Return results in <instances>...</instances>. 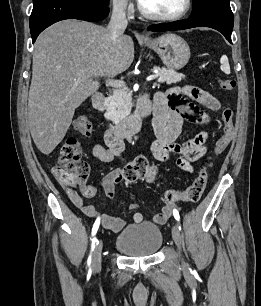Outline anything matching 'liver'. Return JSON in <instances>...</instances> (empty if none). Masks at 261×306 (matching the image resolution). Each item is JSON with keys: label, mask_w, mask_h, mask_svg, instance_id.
<instances>
[{"label": "liver", "mask_w": 261, "mask_h": 306, "mask_svg": "<svg viewBox=\"0 0 261 306\" xmlns=\"http://www.w3.org/2000/svg\"><path fill=\"white\" fill-rule=\"evenodd\" d=\"M134 59L127 35L112 41L107 28L67 19L45 29L35 42L28 122L37 148L50 154L63 140L75 110L95 93L100 77L126 71ZM84 77L80 82L74 79Z\"/></svg>", "instance_id": "obj_1"}]
</instances>
